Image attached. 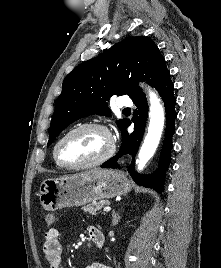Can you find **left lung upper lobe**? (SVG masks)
<instances>
[{
	"label": "left lung upper lobe",
	"mask_w": 221,
	"mask_h": 268,
	"mask_svg": "<svg viewBox=\"0 0 221 268\" xmlns=\"http://www.w3.org/2000/svg\"><path fill=\"white\" fill-rule=\"evenodd\" d=\"M169 76L165 59L156 44L143 36L129 37L100 56L78 65L64 79L55 103L49 146L74 121L93 114L110 115L112 95L127 94L132 100L145 95L137 81L157 88ZM129 120L118 122L121 131Z\"/></svg>",
	"instance_id": "left-lung-upper-lobe-1"
}]
</instances>
